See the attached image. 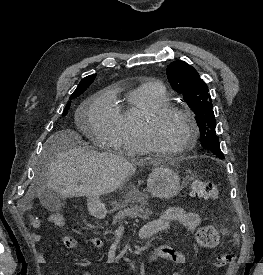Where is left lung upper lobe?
Returning <instances> with one entry per match:
<instances>
[{
	"label": "left lung upper lobe",
	"mask_w": 263,
	"mask_h": 275,
	"mask_svg": "<svg viewBox=\"0 0 263 275\" xmlns=\"http://www.w3.org/2000/svg\"><path fill=\"white\" fill-rule=\"evenodd\" d=\"M167 78L172 88L184 96L186 103L196 114L203 148L214 155H223L215 132L216 120L208 87L197 71L186 62L177 60L168 65Z\"/></svg>",
	"instance_id": "1"
}]
</instances>
